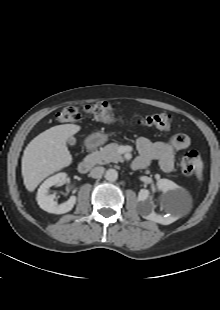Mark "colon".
I'll use <instances>...</instances> for the list:
<instances>
[{
	"label": "colon",
	"mask_w": 220,
	"mask_h": 310,
	"mask_svg": "<svg viewBox=\"0 0 220 310\" xmlns=\"http://www.w3.org/2000/svg\"><path fill=\"white\" fill-rule=\"evenodd\" d=\"M92 115L103 122H122V118L115 113L112 104L105 101H97L85 105L82 109L68 106L58 114V120L64 123L76 122L82 118V114ZM136 123L142 126L154 127L160 130H169L172 125V117L168 113H150L139 118ZM203 167V163L196 151L186 152L180 162L181 171L184 174H193Z\"/></svg>",
	"instance_id": "5ec220e1"
}]
</instances>
